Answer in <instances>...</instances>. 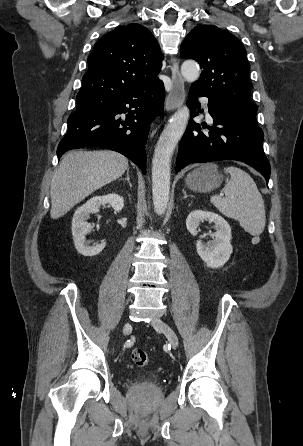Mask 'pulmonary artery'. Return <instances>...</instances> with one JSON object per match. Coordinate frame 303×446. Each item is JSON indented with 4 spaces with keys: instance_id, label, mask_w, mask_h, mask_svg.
Segmentation results:
<instances>
[{
    "instance_id": "1",
    "label": "pulmonary artery",
    "mask_w": 303,
    "mask_h": 446,
    "mask_svg": "<svg viewBox=\"0 0 303 446\" xmlns=\"http://www.w3.org/2000/svg\"><path fill=\"white\" fill-rule=\"evenodd\" d=\"M201 102H202L203 105H204V108H205V112H206V114H207V117L210 118V115H209V113H208V107H207V99H206V98H201Z\"/></svg>"
}]
</instances>
